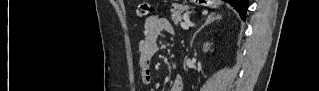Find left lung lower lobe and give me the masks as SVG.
I'll return each instance as SVG.
<instances>
[{"label": "left lung lower lobe", "mask_w": 319, "mask_h": 91, "mask_svg": "<svg viewBox=\"0 0 319 91\" xmlns=\"http://www.w3.org/2000/svg\"><path fill=\"white\" fill-rule=\"evenodd\" d=\"M228 1L240 14L241 18L245 20L246 9L248 7V0H225Z\"/></svg>", "instance_id": "left-lung-lower-lobe-1"}]
</instances>
